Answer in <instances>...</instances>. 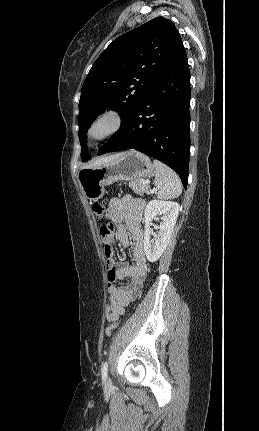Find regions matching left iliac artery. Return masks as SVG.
Here are the masks:
<instances>
[{
	"label": "left iliac artery",
	"instance_id": "left-iliac-artery-1",
	"mask_svg": "<svg viewBox=\"0 0 259 431\" xmlns=\"http://www.w3.org/2000/svg\"><path fill=\"white\" fill-rule=\"evenodd\" d=\"M107 372H108V363L107 361L104 362L102 369H101V373H102V379L106 380L107 377Z\"/></svg>",
	"mask_w": 259,
	"mask_h": 431
}]
</instances>
